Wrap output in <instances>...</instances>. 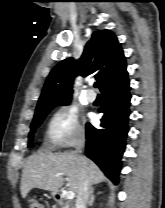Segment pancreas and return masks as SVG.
Wrapping results in <instances>:
<instances>
[{
  "label": "pancreas",
  "mask_w": 165,
  "mask_h": 208,
  "mask_svg": "<svg viewBox=\"0 0 165 208\" xmlns=\"http://www.w3.org/2000/svg\"><path fill=\"white\" fill-rule=\"evenodd\" d=\"M62 208H69V205L65 204V205L62 206Z\"/></svg>",
  "instance_id": "1"
}]
</instances>
